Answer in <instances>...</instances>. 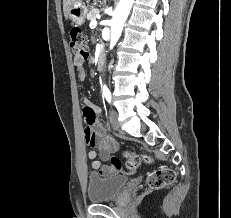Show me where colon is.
I'll return each instance as SVG.
<instances>
[{
	"mask_svg": "<svg viewBox=\"0 0 231 218\" xmlns=\"http://www.w3.org/2000/svg\"><path fill=\"white\" fill-rule=\"evenodd\" d=\"M70 47L72 51L81 57L89 55L88 41L83 31L79 27H72L69 32ZM143 159L147 162L151 161L149 156H144ZM141 163V157L135 153H126V167L133 171L136 170ZM112 170L122 169V163L118 158H114L109 166ZM176 178V172L167 167L159 168L148 175V186L152 189L164 188L171 185Z\"/></svg>",
	"mask_w": 231,
	"mask_h": 218,
	"instance_id": "obj_1",
	"label": "colon"
}]
</instances>
